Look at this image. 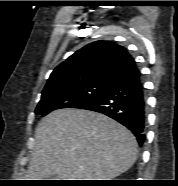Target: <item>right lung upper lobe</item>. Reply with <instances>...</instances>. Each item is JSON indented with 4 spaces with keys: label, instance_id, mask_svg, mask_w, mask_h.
Listing matches in <instances>:
<instances>
[{
    "label": "right lung upper lobe",
    "instance_id": "cb5924a9",
    "mask_svg": "<svg viewBox=\"0 0 178 186\" xmlns=\"http://www.w3.org/2000/svg\"><path fill=\"white\" fill-rule=\"evenodd\" d=\"M138 71L127 49L111 41H96L83 47L57 66L43 92L89 83L111 84Z\"/></svg>",
    "mask_w": 178,
    "mask_h": 186
}]
</instances>
